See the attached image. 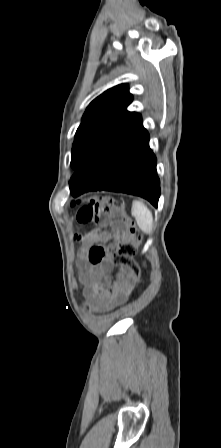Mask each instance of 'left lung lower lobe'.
I'll return each mask as SVG.
<instances>
[{"label": "left lung lower lobe", "instance_id": "1", "mask_svg": "<svg viewBox=\"0 0 221 448\" xmlns=\"http://www.w3.org/2000/svg\"><path fill=\"white\" fill-rule=\"evenodd\" d=\"M69 185L74 197L88 191L108 190L141 196L157 207L160 181L146 129L142 127L94 166L77 170Z\"/></svg>", "mask_w": 221, "mask_h": 448}]
</instances>
